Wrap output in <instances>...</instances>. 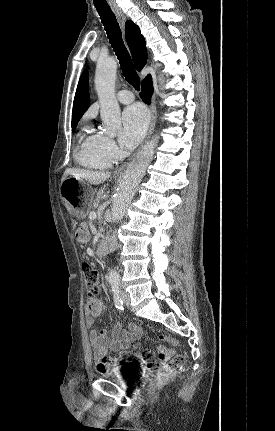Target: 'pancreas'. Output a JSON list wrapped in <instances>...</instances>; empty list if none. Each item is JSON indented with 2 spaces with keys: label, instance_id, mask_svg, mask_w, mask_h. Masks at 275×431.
<instances>
[{
  "label": "pancreas",
  "instance_id": "1",
  "mask_svg": "<svg viewBox=\"0 0 275 431\" xmlns=\"http://www.w3.org/2000/svg\"><path fill=\"white\" fill-rule=\"evenodd\" d=\"M102 195L103 190H99L96 194V198L93 201V208H95L99 204L100 200L102 199Z\"/></svg>",
  "mask_w": 275,
  "mask_h": 431
}]
</instances>
